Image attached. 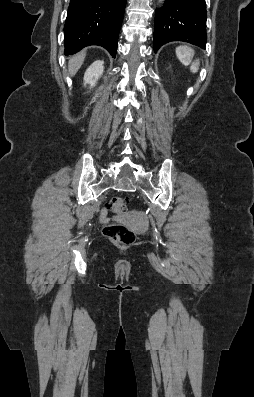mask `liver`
<instances>
[{
    "instance_id": "liver-1",
    "label": "liver",
    "mask_w": 254,
    "mask_h": 397,
    "mask_svg": "<svg viewBox=\"0 0 254 397\" xmlns=\"http://www.w3.org/2000/svg\"><path fill=\"white\" fill-rule=\"evenodd\" d=\"M85 59V52H81L74 57L70 58L68 69L71 76H74L82 66Z\"/></svg>"
}]
</instances>
